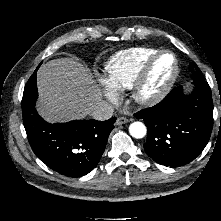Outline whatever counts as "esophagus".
Listing matches in <instances>:
<instances>
[{
  "mask_svg": "<svg viewBox=\"0 0 221 221\" xmlns=\"http://www.w3.org/2000/svg\"><path fill=\"white\" fill-rule=\"evenodd\" d=\"M129 120L126 117H119L116 120V125H122L127 123Z\"/></svg>",
  "mask_w": 221,
  "mask_h": 221,
  "instance_id": "34e87169",
  "label": "esophagus"
}]
</instances>
